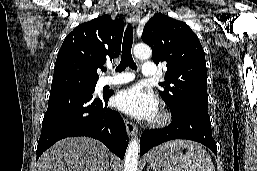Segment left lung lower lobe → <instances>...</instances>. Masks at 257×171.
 Masks as SVG:
<instances>
[{"label": "left lung lower lobe", "mask_w": 257, "mask_h": 171, "mask_svg": "<svg viewBox=\"0 0 257 171\" xmlns=\"http://www.w3.org/2000/svg\"><path fill=\"white\" fill-rule=\"evenodd\" d=\"M172 116V122L167 127L142 133L140 156L152 147L174 139L200 142L217 155V146L212 137L210 117L206 108L184 106L172 111Z\"/></svg>", "instance_id": "1"}]
</instances>
